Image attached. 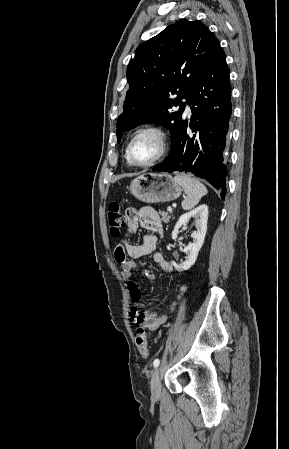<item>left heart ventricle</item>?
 Returning a JSON list of instances; mask_svg holds the SVG:
<instances>
[{
    "instance_id": "1",
    "label": "left heart ventricle",
    "mask_w": 289,
    "mask_h": 449,
    "mask_svg": "<svg viewBox=\"0 0 289 449\" xmlns=\"http://www.w3.org/2000/svg\"><path fill=\"white\" fill-rule=\"evenodd\" d=\"M159 150L157 139L150 134H144L137 138L132 146V156L139 163L152 160Z\"/></svg>"
}]
</instances>
